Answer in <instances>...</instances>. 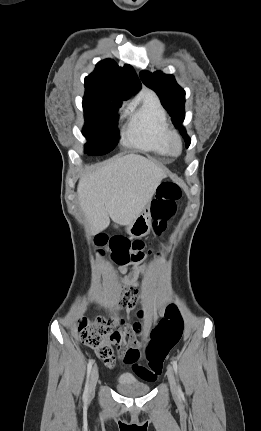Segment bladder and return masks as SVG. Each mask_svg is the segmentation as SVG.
<instances>
[{
    "mask_svg": "<svg viewBox=\"0 0 261 431\" xmlns=\"http://www.w3.org/2000/svg\"><path fill=\"white\" fill-rule=\"evenodd\" d=\"M116 389L122 395L139 397L148 394L151 386L137 380L131 373L124 372L117 378Z\"/></svg>",
    "mask_w": 261,
    "mask_h": 431,
    "instance_id": "31cf9c89",
    "label": "bladder"
}]
</instances>
